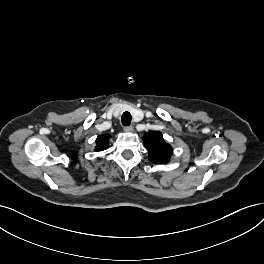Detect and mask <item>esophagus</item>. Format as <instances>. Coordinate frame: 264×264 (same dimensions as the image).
<instances>
[{"label": "esophagus", "mask_w": 264, "mask_h": 264, "mask_svg": "<svg viewBox=\"0 0 264 264\" xmlns=\"http://www.w3.org/2000/svg\"><path fill=\"white\" fill-rule=\"evenodd\" d=\"M124 131H126V132H133L134 131V127L133 126H125L124 127Z\"/></svg>", "instance_id": "34e87169"}]
</instances>
